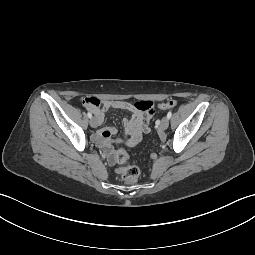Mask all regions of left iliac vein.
Wrapping results in <instances>:
<instances>
[{
	"instance_id": "4c4485c4",
	"label": "left iliac vein",
	"mask_w": 255,
	"mask_h": 255,
	"mask_svg": "<svg viewBox=\"0 0 255 255\" xmlns=\"http://www.w3.org/2000/svg\"><path fill=\"white\" fill-rule=\"evenodd\" d=\"M169 126V119L168 117H163L160 124V129L166 130Z\"/></svg>"
}]
</instances>
